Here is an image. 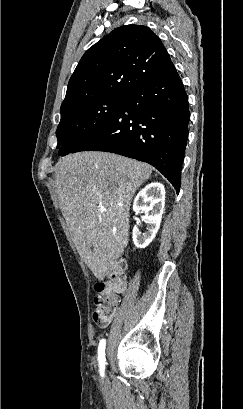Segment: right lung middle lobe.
<instances>
[{
  "mask_svg": "<svg viewBox=\"0 0 243 409\" xmlns=\"http://www.w3.org/2000/svg\"><path fill=\"white\" fill-rule=\"evenodd\" d=\"M125 99L126 97H103L62 108L56 130L59 155L71 153L82 142L105 128Z\"/></svg>",
  "mask_w": 243,
  "mask_h": 409,
  "instance_id": "obj_1",
  "label": "right lung middle lobe"
}]
</instances>
